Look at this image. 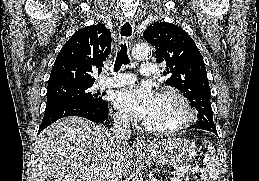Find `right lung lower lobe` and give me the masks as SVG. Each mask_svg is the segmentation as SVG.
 I'll list each match as a JSON object with an SVG mask.
<instances>
[{
  "label": "right lung lower lobe",
  "instance_id": "right-lung-lower-lobe-1",
  "mask_svg": "<svg viewBox=\"0 0 259 181\" xmlns=\"http://www.w3.org/2000/svg\"><path fill=\"white\" fill-rule=\"evenodd\" d=\"M108 104L105 101L99 105H93L86 102H64L48 110H45L42 123L39 127L38 134L60 118L67 116L84 117L93 122L101 123L108 118Z\"/></svg>",
  "mask_w": 259,
  "mask_h": 181
}]
</instances>
